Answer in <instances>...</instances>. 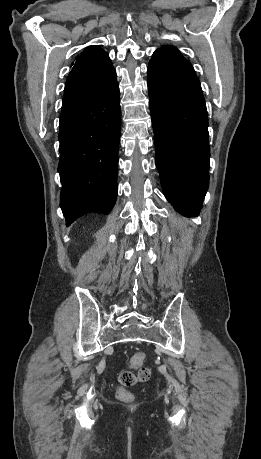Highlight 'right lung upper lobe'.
<instances>
[{
    "instance_id": "cb5924a9",
    "label": "right lung upper lobe",
    "mask_w": 261,
    "mask_h": 459,
    "mask_svg": "<svg viewBox=\"0 0 261 459\" xmlns=\"http://www.w3.org/2000/svg\"><path fill=\"white\" fill-rule=\"evenodd\" d=\"M72 66L65 84L61 115L94 101L117 83L108 54L98 46H88Z\"/></svg>"
}]
</instances>
